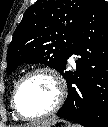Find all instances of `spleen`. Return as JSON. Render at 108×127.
Here are the masks:
<instances>
[{
    "mask_svg": "<svg viewBox=\"0 0 108 127\" xmlns=\"http://www.w3.org/2000/svg\"><path fill=\"white\" fill-rule=\"evenodd\" d=\"M72 127H82V126L79 124H73Z\"/></svg>",
    "mask_w": 108,
    "mask_h": 127,
    "instance_id": "spleen-1",
    "label": "spleen"
}]
</instances>
